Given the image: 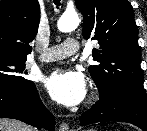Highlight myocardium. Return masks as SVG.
Masks as SVG:
<instances>
[{
	"label": "myocardium",
	"instance_id": "myocardium-1",
	"mask_svg": "<svg viewBox=\"0 0 147 131\" xmlns=\"http://www.w3.org/2000/svg\"><path fill=\"white\" fill-rule=\"evenodd\" d=\"M97 98H98V96H97V94L96 93H94L93 95H92V98H91V103H93V102H95L96 100H97Z\"/></svg>",
	"mask_w": 147,
	"mask_h": 131
}]
</instances>
